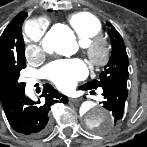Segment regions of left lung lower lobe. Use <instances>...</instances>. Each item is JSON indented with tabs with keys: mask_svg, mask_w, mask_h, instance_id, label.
Returning <instances> with one entry per match:
<instances>
[{
	"mask_svg": "<svg viewBox=\"0 0 147 147\" xmlns=\"http://www.w3.org/2000/svg\"><path fill=\"white\" fill-rule=\"evenodd\" d=\"M104 101L103 106L112 112L113 123L116 124L123 116L125 101L127 99V79H116L102 84ZM80 90H93L80 86Z\"/></svg>",
	"mask_w": 147,
	"mask_h": 147,
	"instance_id": "obj_1",
	"label": "left lung lower lobe"
}]
</instances>
